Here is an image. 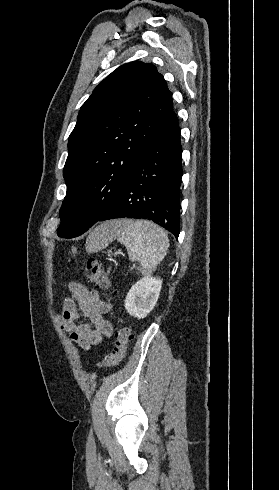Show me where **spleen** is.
I'll use <instances>...</instances> for the list:
<instances>
[{
  "label": "spleen",
  "instance_id": "obj_1",
  "mask_svg": "<svg viewBox=\"0 0 279 490\" xmlns=\"http://www.w3.org/2000/svg\"><path fill=\"white\" fill-rule=\"evenodd\" d=\"M118 238L123 246H126L129 260L140 262L143 276H150L155 272L158 264L164 260L169 248L167 234L160 226H156L149 220H112L108 230L103 224L95 228L88 238L87 252H100Z\"/></svg>",
  "mask_w": 279,
  "mask_h": 490
}]
</instances>
